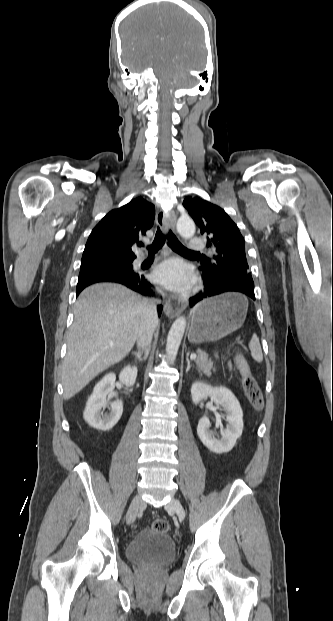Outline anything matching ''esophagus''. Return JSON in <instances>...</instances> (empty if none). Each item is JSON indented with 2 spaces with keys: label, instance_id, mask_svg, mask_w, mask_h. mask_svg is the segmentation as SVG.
<instances>
[{
  "label": "esophagus",
  "instance_id": "1",
  "mask_svg": "<svg viewBox=\"0 0 333 621\" xmlns=\"http://www.w3.org/2000/svg\"><path fill=\"white\" fill-rule=\"evenodd\" d=\"M156 221L163 232H168L169 229L175 231L176 216L173 211H171L167 216L164 212L159 211L156 216ZM186 306V300L181 298H169L165 303L164 312L169 318H174L181 313Z\"/></svg>",
  "mask_w": 333,
  "mask_h": 621
}]
</instances>
